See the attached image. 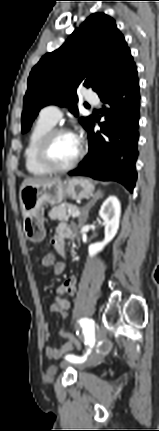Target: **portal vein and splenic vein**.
I'll use <instances>...</instances> for the list:
<instances>
[{
	"label": "portal vein and splenic vein",
	"instance_id": "18ae733b",
	"mask_svg": "<svg viewBox=\"0 0 159 431\" xmlns=\"http://www.w3.org/2000/svg\"><path fill=\"white\" fill-rule=\"evenodd\" d=\"M80 214H81L80 211L76 210L72 213V217H78V216H80Z\"/></svg>",
	"mask_w": 159,
	"mask_h": 431
}]
</instances>
